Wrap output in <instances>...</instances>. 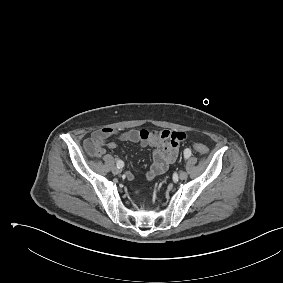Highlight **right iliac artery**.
<instances>
[{
	"mask_svg": "<svg viewBox=\"0 0 283 283\" xmlns=\"http://www.w3.org/2000/svg\"><path fill=\"white\" fill-rule=\"evenodd\" d=\"M116 165H117L118 168H123L124 162H123L122 160H118V161L116 162Z\"/></svg>",
	"mask_w": 283,
	"mask_h": 283,
	"instance_id": "right-iliac-artery-1",
	"label": "right iliac artery"
}]
</instances>
